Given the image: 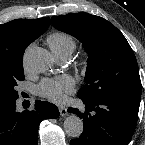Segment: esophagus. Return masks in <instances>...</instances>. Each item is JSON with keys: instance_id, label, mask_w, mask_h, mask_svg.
Here are the masks:
<instances>
[{"instance_id": "esophagus-1", "label": "esophagus", "mask_w": 145, "mask_h": 145, "mask_svg": "<svg viewBox=\"0 0 145 145\" xmlns=\"http://www.w3.org/2000/svg\"><path fill=\"white\" fill-rule=\"evenodd\" d=\"M60 115L61 116H66L67 115V109L64 106H59L58 107Z\"/></svg>"}]
</instances>
